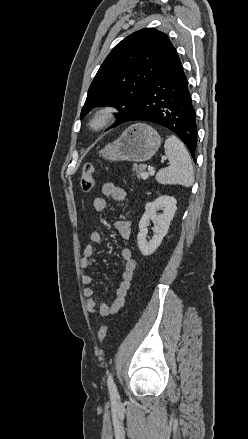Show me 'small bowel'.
<instances>
[{
  "label": "small bowel",
  "mask_w": 248,
  "mask_h": 439,
  "mask_svg": "<svg viewBox=\"0 0 248 439\" xmlns=\"http://www.w3.org/2000/svg\"><path fill=\"white\" fill-rule=\"evenodd\" d=\"M101 193L103 196L96 197L93 201V208L96 212H102L107 206L106 198H111L116 202H124L126 200V191L116 186L111 182H106L101 186ZM115 229L122 239H129L131 235V224L125 219H119L115 222ZM103 241V234L100 230L95 229L90 234V244H88L83 251V256L80 259L81 269H87L91 263V257L94 254L93 244H100ZM120 257L124 261V270L121 275V280L116 288L115 300L111 305H107L98 300L94 289L91 287L92 277L89 274L81 276V282L85 286L83 289L84 297L86 298V308L90 313L98 314L102 317H108L118 313L125 304V298L130 287L134 270L136 268V261L132 256L130 248H122Z\"/></svg>",
  "instance_id": "1"
}]
</instances>
